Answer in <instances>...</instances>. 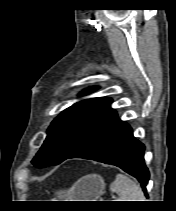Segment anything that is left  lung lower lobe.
I'll list each match as a JSON object with an SVG mask.
<instances>
[{"mask_svg":"<svg viewBox=\"0 0 176 211\" xmlns=\"http://www.w3.org/2000/svg\"><path fill=\"white\" fill-rule=\"evenodd\" d=\"M144 150L145 146L133 136L132 128L116 116L69 158H84L120 167L139 180L147 195L149 171L144 163Z\"/></svg>","mask_w":176,"mask_h":211,"instance_id":"0a47b994","label":"left lung lower lobe"}]
</instances>
